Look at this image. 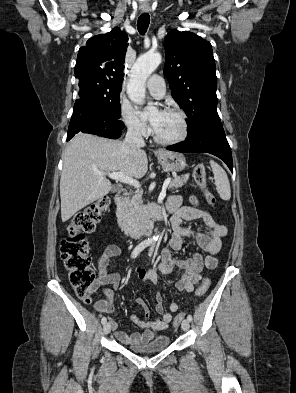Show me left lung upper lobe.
Instances as JSON below:
<instances>
[{"label": "left lung upper lobe", "instance_id": "left-lung-upper-lobe-1", "mask_svg": "<svg viewBox=\"0 0 296 393\" xmlns=\"http://www.w3.org/2000/svg\"><path fill=\"white\" fill-rule=\"evenodd\" d=\"M164 48V74L173 98L188 117V136L207 124L221 122L211 44L192 32L174 29L166 35Z\"/></svg>", "mask_w": 296, "mask_h": 393}]
</instances>
